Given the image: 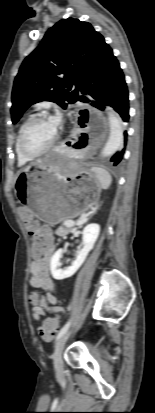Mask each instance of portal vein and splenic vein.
<instances>
[{
	"instance_id": "1",
	"label": "portal vein and splenic vein",
	"mask_w": 155,
	"mask_h": 413,
	"mask_svg": "<svg viewBox=\"0 0 155 413\" xmlns=\"http://www.w3.org/2000/svg\"><path fill=\"white\" fill-rule=\"evenodd\" d=\"M83 222H85V219H80V220L78 221V223H83ZM67 224H68L69 226H73L75 223H74L73 221H68Z\"/></svg>"
}]
</instances>
